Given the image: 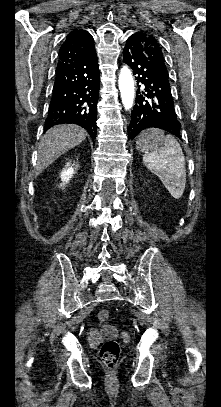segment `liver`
Wrapping results in <instances>:
<instances>
[{
  "label": "liver",
  "instance_id": "liver-1",
  "mask_svg": "<svg viewBox=\"0 0 221 407\" xmlns=\"http://www.w3.org/2000/svg\"><path fill=\"white\" fill-rule=\"evenodd\" d=\"M87 132L77 125H57L49 129L38 147L35 175L86 139Z\"/></svg>",
  "mask_w": 221,
  "mask_h": 407
}]
</instances>
